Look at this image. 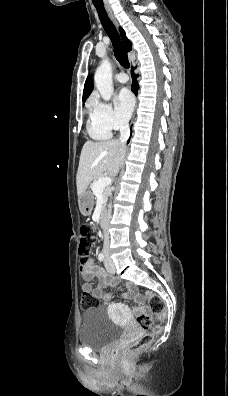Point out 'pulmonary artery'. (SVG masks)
Masks as SVG:
<instances>
[{
  "label": "pulmonary artery",
  "instance_id": "pulmonary-artery-1",
  "mask_svg": "<svg viewBox=\"0 0 228 396\" xmlns=\"http://www.w3.org/2000/svg\"><path fill=\"white\" fill-rule=\"evenodd\" d=\"M116 79L120 83H126L128 81V76L125 73H119L116 76Z\"/></svg>",
  "mask_w": 228,
  "mask_h": 396
}]
</instances>
